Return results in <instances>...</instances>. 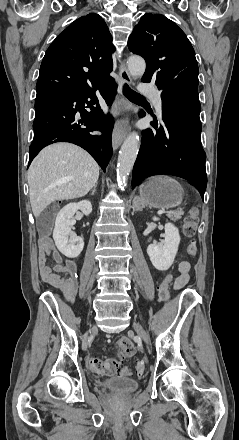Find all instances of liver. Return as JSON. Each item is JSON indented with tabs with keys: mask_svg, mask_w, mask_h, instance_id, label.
Instances as JSON below:
<instances>
[{
	"mask_svg": "<svg viewBox=\"0 0 239 440\" xmlns=\"http://www.w3.org/2000/svg\"><path fill=\"white\" fill-rule=\"evenodd\" d=\"M99 166L85 150L73 144H51L28 170L29 198L35 218L55 202L86 196L99 178ZM72 176L74 180L67 182Z\"/></svg>",
	"mask_w": 239,
	"mask_h": 440,
	"instance_id": "obj_1",
	"label": "liver"
}]
</instances>
